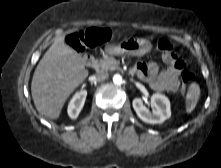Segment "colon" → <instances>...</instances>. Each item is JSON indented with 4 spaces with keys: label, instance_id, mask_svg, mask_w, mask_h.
Wrapping results in <instances>:
<instances>
[{
    "label": "colon",
    "instance_id": "colon-1",
    "mask_svg": "<svg viewBox=\"0 0 221 168\" xmlns=\"http://www.w3.org/2000/svg\"><path fill=\"white\" fill-rule=\"evenodd\" d=\"M110 37V30L107 28H90L80 32L72 33L67 37V43L77 51H83L87 48L94 47L99 43L106 41ZM160 51L163 54L172 52V44L169 40L161 38L157 44ZM183 84H181L180 94L184 95L186 91V85H189L195 81V75L185 70V73L181 76Z\"/></svg>",
    "mask_w": 221,
    "mask_h": 168
}]
</instances>
